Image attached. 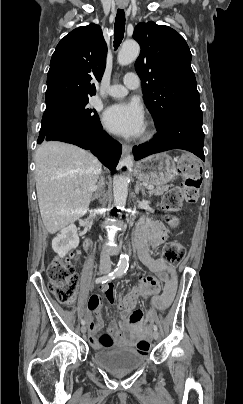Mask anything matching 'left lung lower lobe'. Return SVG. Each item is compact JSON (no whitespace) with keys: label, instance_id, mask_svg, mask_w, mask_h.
<instances>
[{"label":"left lung lower lobe","instance_id":"obj_1","mask_svg":"<svg viewBox=\"0 0 243 404\" xmlns=\"http://www.w3.org/2000/svg\"><path fill=\"white\" fill-rule=\"evenodd\" d=\"M202 121L201 110H178L171 113L161 125L156 126L158 133L155 138L149 143L133 147L135 160L175 148L190 151L205 161Z\"/></svg>","mask_w":243,"mask_h":404}]
</instances>
